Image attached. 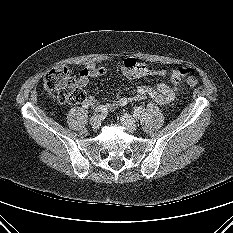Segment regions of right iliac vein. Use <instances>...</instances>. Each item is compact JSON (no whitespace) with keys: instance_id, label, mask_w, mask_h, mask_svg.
Masks as SVG:
<instances>
[{"instance_id":"right-iliac-vein-1","label":"right iliac vein","mask_w":233,"mask_h":233,"mask_svg":"<svg viewBox=\"0 0 233 233\" xmlns=\"http://www.w3.org/2000/svg\"><path fill=\"white\" fill-rule=\"evenodd\" d=\"M101 124V117L100 115H94L90 119V125L94 128L97 129Z\"/></svg>"}]
</instances>
